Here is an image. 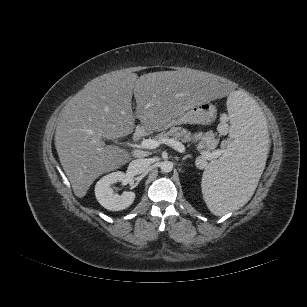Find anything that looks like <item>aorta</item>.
I'll list each match as a JSON object with an SVG mask.
<instances>
[{
  "label": "aorta",
  "instance_id": "obj_1",
  "mask_svg": "<svg viewBox=\"0 0 307 307\" xmlns=\"http://www.w3.org/2000/svg\"><path fill=\"white\" fill-rule=\"evenodd\" d=\"M160 169L164 173H169L173 170V163L168 160L162 161L160 163Z\"/></svg>",
  "mask_w": 307,
  "mask_h": 307
}]
</instances>
